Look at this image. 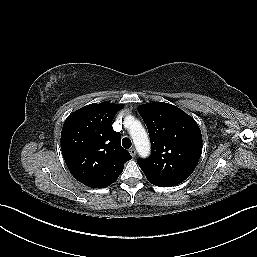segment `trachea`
<instances>
[{"mask_svg":"<svg viewBox=\"0 0 257 257\" xmlns=\"http://www.w3.org/2000/svg\"><path fill=\"white\" fill-rule=\"evenodd\" d=\"M122 145H123V147L125 149H129L131 147V145H132V142H131V140L129 138H124L122 140Z\"/></svg>","mask_w":257,"mask_h":257,"instance_id":"trachea-1","label":"trachea"}]
</instances>
